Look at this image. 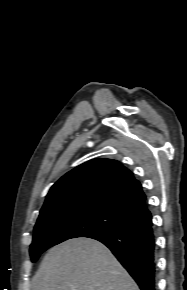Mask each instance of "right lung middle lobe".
Returning <instances> with one entry per match:
<instances>
[{
  "instance_id": "right-lung-middle-lobe-1",
  "label": "right lung middle lobe",
  "mask_w": 187,
  "mask_h": 290,
  "mask_svg": "<svg viewBox=\"0 0 187 290\" xmlns=\"http://www.w3.org/2000/svg\"><path fill=\"white\" fill-rule=\"evenodd\" d=\"M129 221L112 209L80 206L56 211L38 218L30 247L32 262L48 248L65 240L120 227Z\"/></svg>"
}]
</instances>
